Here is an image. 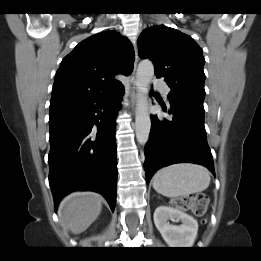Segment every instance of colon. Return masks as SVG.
I'll use <instances>...</instances> for the list:
<instances>
[{"label":"colon","instance_id":"1","mask_svg":"<svg viewBox=\"0 0 261 261\" xmlns=\"http://www.w3.org/2000/svg\"><path fill=\"white\" fill-rule=\"evenodd\" d=\"M175 205L182 210L190 209L196 216L201 217L206 213L208 197L202 193L193 196H183L175 200Z\"/></svg>","mask_w":261,"mask_h":261}]
</instances>
